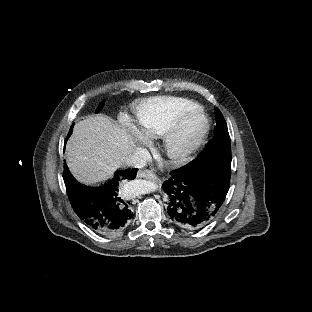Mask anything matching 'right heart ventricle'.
Wrapping results in <instances>:
<instances>
[{
  "instance_id": "obj_1",
  "label": "right heart ventricle",
  "mask_w": 312,
  "mask_h": 312,
  "mask_svg": "<svg viewBox=\"0 0 312 312\" xmlns=\"http://www.w3.org/2000/svg\"><path fill=\"white\" fill-rule=\"evenodd\" d=\"M198 109L199 102L191 95L152 94L135 104L133 123L137 133L151 141L179 125Z\"/></svg>"
}]
</instances>
